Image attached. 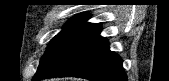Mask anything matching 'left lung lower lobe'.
Wrapping results in <instances>:
<instances>
[{"label":"left lung lower lobe","mask_w":169,"mask_h":81,"mask_svg":"<svg viewBox=\"0 0 169 81\" xmlns=\"http://www.w3.org/2000/svg\"><path fill=\"white\" fill-rule=\"evenodd\" d=\"M100 24H91L68 44L58 61L33 81L53 77H79L91 81H127L122 59L100 36Z\"/></svg>","instance_id":"left-lung-lower-lobe-1"}]
</instances>
